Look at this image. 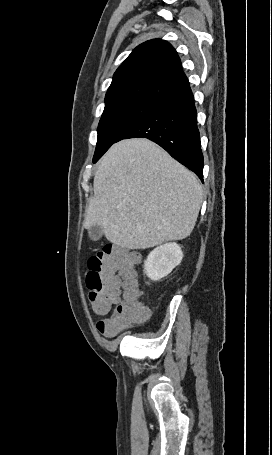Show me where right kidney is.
<instances>
[{
	"label": "right kidney",
	"instance_id": "1",
	"mask_svg": "<svg viewBox=\"0 0 272 455\" xmlns=\"http://www.w3.org/2000/svg\"><path fill=\"white\" fill-rule=\"evenodd\" d=\"M183 258V252L176 243H167L150 252L144 262V272L147 276L158 281L167 276Z\"/></svg>",
	"mask_w": 272,
	"mask_h": 455
}]
</instances>
